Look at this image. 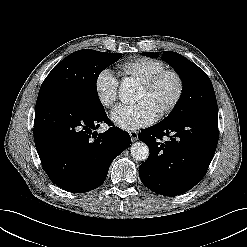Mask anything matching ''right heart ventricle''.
I'll use <instances>...</instances> for the list:
<instances>
[{
  "label": "right heart ventricle",
  "instance_id": "obj_1",
  "mask_svg": "<svg viewBox=\"0 0 247 247\" xmlns=\"http://www.w3.org/2000/svg\"><path fill=\"white\" fill-rule=\"evenodd\" d=\"M165 69V64L158 59L137 57L123 62L118 67V73L124 78H131L138 82Z\"/></svg>",
  "mask_w": 247,
  "mask_h": 247
}]
</instances>
